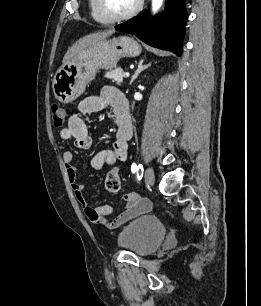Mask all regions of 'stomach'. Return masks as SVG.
Returning <instances> with one entry per match:
<instances>
[{
	"instance_id": "1",
	"label": "stomach",
	"mask_w": 261,
	"mask_h": 306,
	"mask_svg": "<svg viewBox=\"0 0 261 306\" xmlns=\"http://www.w3.org/2000/svg\"><path fill=\"white\" fill-rule=\"evenodd\" d=\"M141 46L131 37L101 40L62 65L53 78V93L62 103L77 99L100 69H113L124 57H137Z\"/></svg>"
}]
</instances>
